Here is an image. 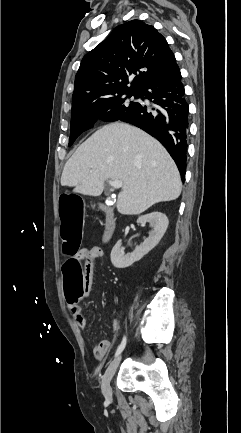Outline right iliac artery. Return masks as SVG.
Instances as JSON below:
<instances>
[{"label": "right iliac artery", "mask_w": 241, "mask_h": 433, "mask_svg": "<svg viewBox=\"0 0 241 433\" xmlns=\"http://www.w3.org/2000/svg\"><path fill=\"white\" fill-rule=\"evenodd\" d=\"M126 341H127L126 336H124L121 344L119 345V347L115 353V357L118 356L123 351V349L125 348V345H126Z\"/></svg>", "instance_id": "right-iliac-artery-1"}]
</instances>
